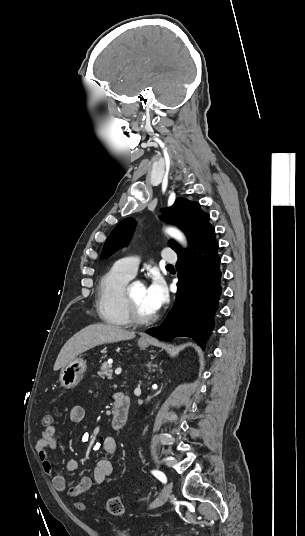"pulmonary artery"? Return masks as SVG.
<instances>
[{"label": "pulmonary artery", "mask_w": 305, "mask_h": 536, "mask_svg": "<svg viewBox=\"0 0 305 536\" xmlns=\"http://www.w3.org/2000/svg\"><path fill=\"white\" fill-rule=\"evenodd\" d=\"M163 251L164 255H162L161 257L162 262L170 264L177 262L178 257L177 255L173 254V249L171 248V246H164ZM138 265L139 260L133 257L123 258L116 263V267L131 278L136 275Z\"/></svg>", "instance_id": "obj_1"}]
</instances>
